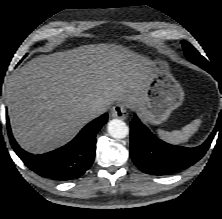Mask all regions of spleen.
<instances>
[{"label": "spleen", "mask_w": 222, "mask_h": 219, "mask_svg": "<svg viewBox=\"0 0 222 219\" xmlns=\"http://www.w3.org/2000/svg\"><path fill=\"white\" fill-rule=\"evenodd\" d=\"M201 125V119H195L190 124L184 126L181 130H174L171 132L158 130V135L164 141L178 145L187 142L189 138L198 130Z\"/></svg>", "instance_id": "obj_1"}]
</instances>
